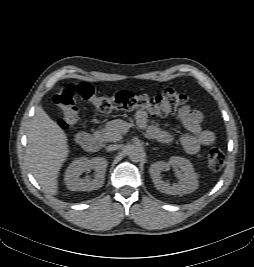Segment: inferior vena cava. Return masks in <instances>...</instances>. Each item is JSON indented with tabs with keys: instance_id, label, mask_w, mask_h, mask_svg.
<instances>
[{
	"instance_id": "inferior-vena-cava-1",
	"label": "inferior vena cava",
	"mask_w": 254,
	"mask_h": 267,
	"mask_svg": "<svg viewBox=\"0 0 254 267\" xmlns=\"http://www.w3.org/2000/svg\"><path fill=\"white\" fill-rule=\"evenodd\" d=\"M117 149H118L117 145H109V146L106 147L107 151H114V150H117Z\"/></svg>"
}]
</instances>
